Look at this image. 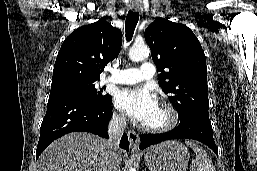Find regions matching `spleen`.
Listing matches in <instances>:
<instances>
[{"mask_svg": "<svg viewBox=\"0 0 257 171\" xmlns=\"http://www.w3.org/2000/svg\"><path fill=\"white\" fill-rule=\"evenodd\" d=\"M186 144L196 153V158L190 166L191 171H216L211 158L203 148L192 141H186Z\"/></svg>", "mask_w": 257, "mask_h": 171, "instance_id": "spleen-1", "label": "spleen"}]
</instances>
